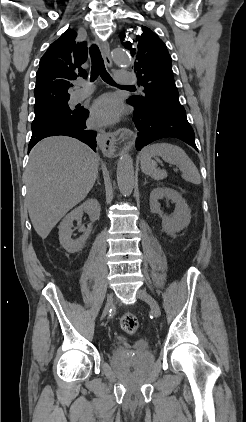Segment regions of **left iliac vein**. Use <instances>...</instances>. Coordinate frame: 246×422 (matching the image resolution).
<instances>
[{
	"label": "left iliac vein",
	"instance_id": "4c4485c4",
	"mask_svg": "<svg viewBox=\"0 0 246 422\" xmlns=\"http://www.w3.org/2000/svg\"><path fill=\"white\" fill-rule=\"evenodd\" d=\"M137 297L143 300L144 302H146L150 306L155 317H160L161 315L160 306L157 303V301L147 291H145L144 289H139L137 291Z\"/></svg>",
	"mask_w": 246,
	"mask_h": 422
}]
</instances>
